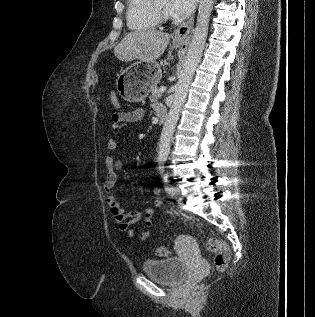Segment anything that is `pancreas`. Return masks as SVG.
Segmentation results:
<instances>
[{
    "label": "pancreas",
    "instance_id": "1",
    "mask_svg": "<svg viewBox=\"0 0 315 317\" xmlns=\"http://www.w3.org/2000/svg\"><path fill=\"white\" fill-rule=\"evenodd\" d=\"M162 97L161 92L156 87H153L151 90V96L149 97L151 102H156L158 99Z\"/></svg>",
    "mask_w": 315,
    "mask_h": 317
}]
</instances>
